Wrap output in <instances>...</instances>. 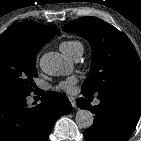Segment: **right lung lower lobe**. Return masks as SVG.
Instances as JSON below:
<instances>
[{
    "instance_id": "1",
    "label": "right lung lower lobe",
    "mask_w": 141,
    "mask_h": 141,
    "mask_svg": "<svg viewBox=\"0 0 141 141\" xmlns=\"http://www.w3.org/2000/svg\"><path fill=\"white\" fill-rule=\"evenodd\" d=\"M28 95L0 92V141H47L55 121L72 110L62 93L49 91L32 108Z\"/></svg>"
}]
</instances>
